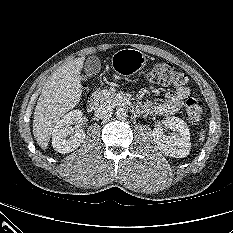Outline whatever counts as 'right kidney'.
Segmentation results:
<instances>
[{
    "label": "right kidney",
    "instance_id": "obj_1",
    "mask_svg": "<svg viewBox=\"0 0 233 233\" xmlns=\"http://www.w3.org/2000/svg\"><path fill=\"white\" fill-rule=\"evenodd\" d=\"M79 109L65 114L55 125L52 131V146L55 151L65 154L77 149L85 139L83 129H74L71 124L82 119Z\"/></svg>",
    "mask_w": 233,
    "mask_h": 233
}]
</instances>
